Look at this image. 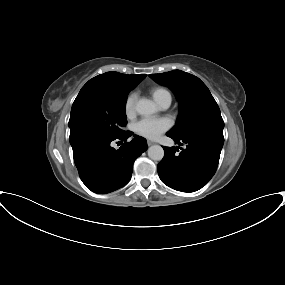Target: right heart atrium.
<instances>
[{
	"label": "right heart atrium",
	"instance_id": "d8ad5b80",
	"mask_svg": "<svg viewBox=\"0 0 285 285\" xmlns=\"http://www.w3.org/2000/svg\"><path fill=\"white\" fill-rule=\"evenodd\" d=\"M136 93H130L124 104V111L127 117H132L135 114Z\"/></svg>",
	"mask_w": 285,
	"mask_h": 285
}]
</instances>
